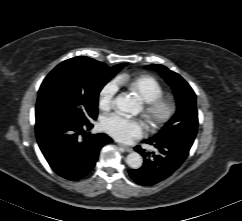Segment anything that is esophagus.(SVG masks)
<instances>
[{"label": "esophagus", "instance_id": "1", "mask_svg": "<svg viewBox=\"0 0 242 221\" xmlns=\"http://www.w3.org/2000/svg\"><path fill=\"white\" fill-rule=\"evenodd\" d=\"M119 146L121 148H123L126 152H132L133 151V149L131 147H129V146L122 145V144H119Z\"/></svg>", "mask_w": 242, "mask_h": 221}]
</instances>
